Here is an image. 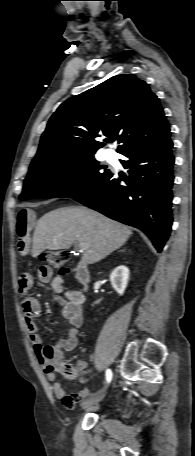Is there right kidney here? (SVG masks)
I'll list each match as a JSON object with an SVG mask.
<instances>
[{"mask_svg": "<svg viewBox=\"0 0 195 456\" xmlns=\"http://www.w3.org/2000/svg\"><path fill=\"white\" fill-rule=\"evenodd\" d=\"M129 279V269L124 266L116 267L110 274L112 287L119 295H123Z\"/></svg>", "mask_w": 195, "mask_h": 456, "instance_id": "ca27d5eb", "label": "right kidney"}]
</instances>
